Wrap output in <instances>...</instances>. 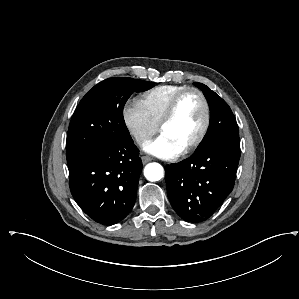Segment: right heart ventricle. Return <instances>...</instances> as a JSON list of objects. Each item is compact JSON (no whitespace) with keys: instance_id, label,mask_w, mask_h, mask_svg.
<instances>
[{"instance_id":"1","label":"right heart ventricle","mask_w":299,"mask_h":299,"mask_svg":"<svg viewBox=\"0 0 299 299\" xmlns=\"http://www.w3.org/2000/svg\"><path fill=\"white\" fill-rule=\"evenodd\" d=\"M185 88L187 87L184 85H160L141 94L137 103L148 118L158 126L171 100Z\"/></svg>"}]
</instances>
